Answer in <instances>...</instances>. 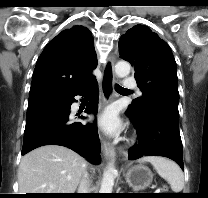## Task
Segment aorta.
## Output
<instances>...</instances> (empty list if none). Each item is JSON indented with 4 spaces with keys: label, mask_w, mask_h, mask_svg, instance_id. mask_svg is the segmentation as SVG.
I'll list each match as a JSON object with an SVG mask.
<instances>
[{
    "label": "aorta",
    "mask_w": 208,
    "mask_h": 198,
    "mask_svg": "<svg viewBox=\"0 0 208 198\" xmlns=\"http://www.w3.org/2000/svg\"><path fill=\"white\" fill-rule=\"evenodd\" d=\"M131 66L126 61H119L115 65V73L118 77H126L130 73ZM117 173L113 164H109L103 174V179L99 193H112L114 176Z\"/></svg>",
    "instance_id": "obj_1"
}]
</instances>
